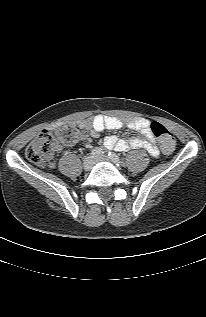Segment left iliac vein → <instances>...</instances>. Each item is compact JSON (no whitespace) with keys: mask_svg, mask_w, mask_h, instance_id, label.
<instances>
[{"mask_svg":"<svg viewBox=\"0 0 206 317\" xmlns=\"http://www.w3.org/2000/svg\"><path fill=\"white\" fill-rule=\"evenodd\" d=\"M95 162H101V161H110V159L107 156H100L94 159Z\"/></svg>","mask_w":206,"mask_h":317,"instance_id":"4c4485c4","label":"left iliac vein"}]
</instances>
